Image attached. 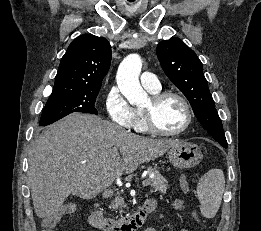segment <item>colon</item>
<instances>
[{
  "label": "colon",
  "mask_w": 261,
  "mask_h": 231,
  "mask_svg": "<svg viewBox=\"0 0 261 231\" xmlns=\"http://www.w3.org/2000/svg\"><path fill=\"white\" fill-rule=\"evenodd\" d=\"M180 186L182 190L186 187V184L181 180ZM78 211V205L75 203H69L59 209L51 211L47 217L43 220L42 231H54V227L58 219L66 214H72Z\"/></svg>",
  "instance_id": "5ec220e1"
}]
</instances>
